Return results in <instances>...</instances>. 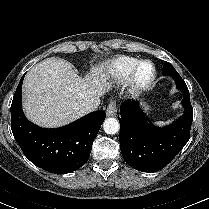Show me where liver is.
Listing matches in <instances>:
<instances>
[{"label": "liver", "mask_w": 209, "mask_h": 209, "mask_svg": "<svg viewBox=\"0 0 209 209\" xmlns=\"http://www.w3.org/2000/svg\"><path fill=\"white\" fill-rule=\"evenodd\" d=\"M109 62L93 66L81 78L72 65L60 58H47L32 67L23 82L22 102L26 117L46 128L67 125L84 116L81 108L100 103L111 88Z\"/></svg>", "instance_id": "6515ba94"}]
</instances>
